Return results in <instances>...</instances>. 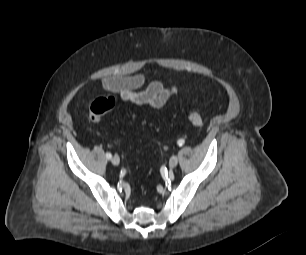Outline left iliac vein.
Listing matches in <instances>:
<instances>
[{
  "label": "left iliac vein",
  "mask_w": 306,
  "mask_h": 255,
  "mask_svg": "<svg viewBox=\"0 0 306 255\" xmlns=\"http://www.w3.org/2000/svg\"><path fill=\"white\" fill-rule=\"evenodd\" d=\"M178 164V157L176 155H173L169 160V167L175 168Z\"/></svg>",
  "instance_id": "obj_1"
}]
</instances>
